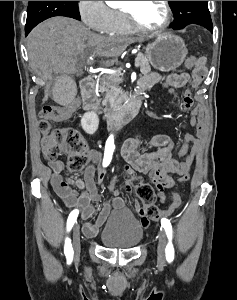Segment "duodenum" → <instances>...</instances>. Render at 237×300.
I'll list each match as a JSON object with an SVG mask.
<instances>
[{
    "instance_id": "1",
    "label": "duodenum",
    "mask_w": 237,
    "mask_h": 300,
    "mask_svg": "<svg viewBox=\"0 0 237 300\" xmlns=\"http://www.w3.org/2000/svg\"><path fill=\"white\" fill-rule=\"evenodd\" d=\"M81 97L84 108L97 116L103 123L104 128L109 131L120 129L142 106L143 98L140 90H137L127 104L125 113L122 116L106 117L103 115L99 100L96 94V84L92 77H85L81 81Z\"/></svg>"
}]
</instances>
